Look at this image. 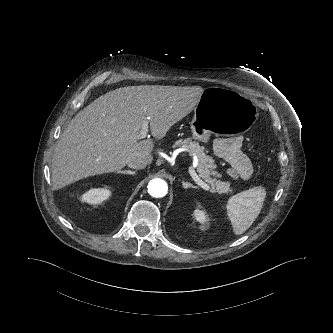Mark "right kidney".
Here are the masks:
<instances>
[{"label":"right kidney","instance_id":"right-kidney-1","mask_svg":"<svg viewBox=\"0 0 333 333\" xmlns=\"http://www.w3.org/2000/svg\"><path fill=\"white\" fill-rule=\"evenodd\" d=\"M110 194V190L106 188L90 189L82 195V201L89 204H100L109 198Z\"/></svg>","mask_w":333,"mask_h":333}]
</instances>
